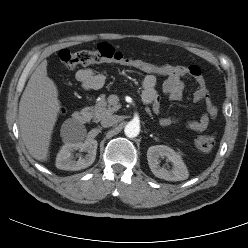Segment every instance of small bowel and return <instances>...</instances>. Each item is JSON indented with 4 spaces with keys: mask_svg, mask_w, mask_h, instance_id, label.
I'll return each instance as SVG.
<instances>
[{
    "mask_svg": "<svg viewBox=\"0 0 248 248\" xmlns=\"http://www.w3.org/2000/svg\"><path fill=\"white\" fill-rule=\"evenodd\" d=\"M157 76L166 78L163 82L162 90L171 101L181 100L185 88L182 80L183 77H190L194 80L196 89L193 93V100L195 102H203L205 104V112L198 119L186 120L185 126L188 129L197 132L204 131L208 127L210 120L216 118L218 110L211 101L201 69L197 65L163 64L159 74H145L142 81V99L145 103L151 105L155 113L160 111V95L156 90ZM76 80L87 90L99 89L105 83L104 75L90 68L78 70ZM179 122L180 120L176 117H162L159 120L160 125L163 127Z\"/></svg>",
    "mask_w": 248,
    "mask_h": 248,
    "instance_id": "small-bowel-1",
    "label": "small bowel"
}]
</instances>
